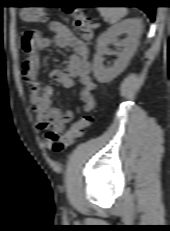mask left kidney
<instances>
[{
    "label": "left kidney",
    "mask_w": 170,
    "mask_h": 231,
    "mask_svg": "<svg viewBox=\"0 0 170 231\" xmlns=\"http://www.w3.org/2000/svg\"><path fill=\"white\" fill-rule=\"evenodd\" d=\"M142 32V22L138 18L126 19L102 33L97 39V52L94 56L93 71L99 83H108L117 77L128 65L133 56ZM127 34V37L118 42L120 34ZM110 43H117L123 47V51L118 54V59L111 67L103 65V56L107 53V46Z\"/></svg>",
    "instance_id": "5707ae66"
}]
</instances>
